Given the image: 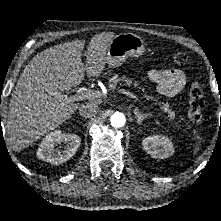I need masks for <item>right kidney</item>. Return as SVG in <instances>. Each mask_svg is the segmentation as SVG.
Returning a JSON list of instances; mask_svg holds the SVG:
<instances>
[{
  "label": "right kidney",
  "mask_w": 221,
  "mask_h": 221,
  "mask_svg": "<svg viewBox=\"0 0 221 221\" xmlns=\"http://www.w3.org/2000/svg\"><path fill=\"white\" fill-rule=\"evenodd\" d=\"M81 138L74 134H64L60 130H55L43 139L37 156L39 159L53 165L68 161L80 146ZM64 143V147L55 149L57 144Z\"/></svg>",
  "instance_id": "ca27d5eb"
}]
</instances>
